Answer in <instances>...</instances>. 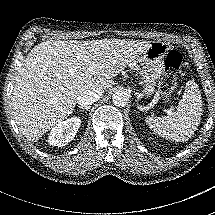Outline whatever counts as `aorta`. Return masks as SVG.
I'll return each instance as SVG.
<instances>
[{
  "mask_svg": "<svg viewBox=\"0 0 215 215\" xmlns=\"http://www.w3.org/2000/svg\"><path fill=\"white\" fill-rule=\"evenodd\" d=\"M130 95L125 90H118L112 95V102L115 106L124 107L129 101Z\"/></svg>",
  "mask_w": 215,
  "mask_h": 215,
  "instance_id": "aorta-1",
  "label": "aorta"
}]
</instances>
